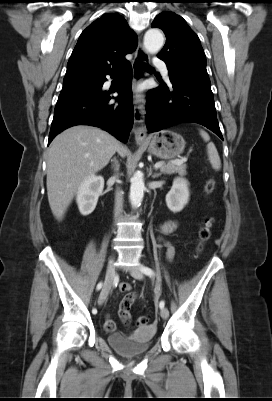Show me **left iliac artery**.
<instances>
[{"mask_svg":"<svg viewBox=\"0 0 272 401\" xmlns=\"http://www.w3.org/2000/svg\"><path fill=\"white\" fill-rule=\"evenodd\" d=\"M140 270H141L145 275H147V276H149V277H153V276L155 275L154 271H153L151 268H149V267L141 266V267H140ZM164 305H165L164 301H161L160 304H159L160 308H164Z\"/></svg>","mask_w":272,"mask_h":401,"instance_id":"1","label":"left iliac artery"}]
</instances>
